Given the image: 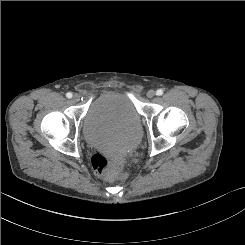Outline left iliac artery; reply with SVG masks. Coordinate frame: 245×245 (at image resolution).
<instances>
[{
  "label": "left iliac artery",
  "instance_id": "1",
  "mask_svg": "<svg viewBox=\"0 0 245 245\" xmlns=\"http://www.w3.org/2000/svg\"><path fill=\"white\" fill-rule=\"evenodd\" d=\"M162 94H163V90L162 89H158L156 91V95L161 96Z\"/></svg>",
  "mask_w": 245,
  "mask_h": 245
}]
</instances>
